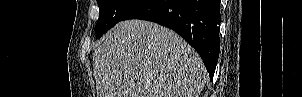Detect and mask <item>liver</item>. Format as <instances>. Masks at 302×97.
I'll return each instance as SVG.
<instances>
[{
    "mask_svg": "<svg viewBox=\"0 0 302 97\" xmlns=\"http://www.w3.org/2000/svg\"><path fill=\"white\" fill-rule=\"evenodd\" d=\"M97 97H199L207 72L177 33L143 20L121 21L93 54Z\"/></svg>",
    "mask_w": 302,
    "mask_h": 97,
    "instance_id": "obj_1",
    "label": "liver"
}]
</instances>
